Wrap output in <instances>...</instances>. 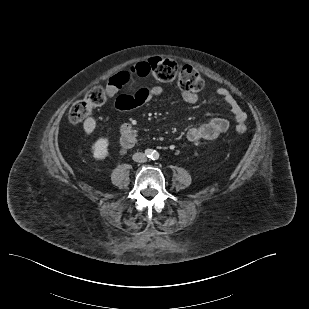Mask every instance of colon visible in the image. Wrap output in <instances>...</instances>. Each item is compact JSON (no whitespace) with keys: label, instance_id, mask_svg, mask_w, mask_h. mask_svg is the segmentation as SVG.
Listing matches in <instances>:
<instances>
[{"label":"colon","instance_id":"1","mask_svg":"<svg viewBox=\"0 0 309 309\" xmlns=\"http://www.w3.org/2000/svg\"><path fill=\"white\" fill-rule=\"evenodd\" d=\"M150 71L154 77L162 82L176 80L183 92L197 93L205 90L206 85L199 72L189 65H181L172 59L152 58L148 61ZM106 101V94L102 87H94L87 92L82 100L75 102L70 111L69 119L72 123L84 121L94 108L103 105ZM236 132L245 133L247 127L237 124Z\"/></svg>","mask_w":309,"mask_h":309}]
</instances>
